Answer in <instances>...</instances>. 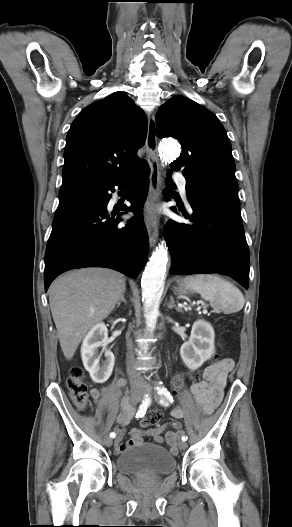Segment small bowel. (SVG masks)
<instances>
[{
	"label": "small bowel",
	"mask_w": 292,
	"mask_h": 527,
	"mask_svg": "<svg viewBox=\"0 0 292 527\" xmlns=\"http://www.w3.org/2000/svg\"><path fill=\"white\" fill-rule=\"evenodd\" d=\"M232 368L233 361L229 358L223 359L217 364L206 368L205 378L203 381L195 382L190 386L191 394L204 413H212L219 405L223 396L227 375L232 370ZM101 394L102 391L98 389L91 390V396L95 401L99 399ZM134 412L135 408L130 405L128 398L123 397L121 400V410L117 417V423L119 425V427L116 429L117 440L115 442V450L117 452H122L131 446L140 444L143 441V437L147 435L153 437L157 443H162L164 441V437H166L167 443L171 445L172 453H177L176 444L178 442L179 434L176 431H167L163 437V433L168 427L167 425H160L147 431L134 428L131 431V439L127 443H122L121 440L124 435L123 427L129 424ZM172 415L178 419L182 417V412L180 409H175L173 410ZM171 426L177 430H179L181 427L179 422H174L171 424Z\"/></svg>",
	"instance_id": "c3829d8e"
}]
</instances>
